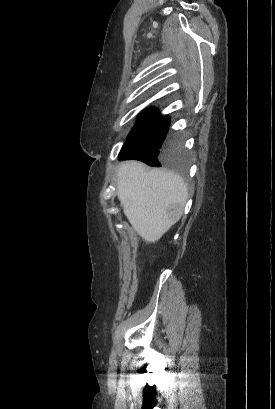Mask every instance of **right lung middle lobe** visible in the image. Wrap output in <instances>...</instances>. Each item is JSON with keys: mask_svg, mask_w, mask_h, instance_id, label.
<instances>
[{"mask_svg": "<svg viewBox=\"0 0 275 409\" xmlns=\"http://www.w3.org/2000/svg\"><path fill=\"white\" fill-rule=\"evenodd\" d=\"M169 116H162L149 110L141 118L127 137L119 160L134 159L147 165L144 169L152 172H171L174 178L189 181V155L182 147V138L169 135Z\"/></svg>", "mask_w": 275, "mask_h": 409, "instance_id": "1", "label": "right lung middle lobe"}]
</instances>
